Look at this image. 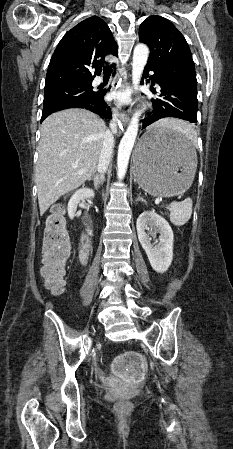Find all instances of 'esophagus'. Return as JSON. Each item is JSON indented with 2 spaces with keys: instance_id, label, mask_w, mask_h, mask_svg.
I'll return each mask as SVG.
<instances>
[{
  "instance_id": "obj_1",
  "label": "esophagus",
  "mask_w": 233,
  "mask_h": 449,
  "mask_svg": "<svg viewBox=\"0 0 233 449\" xmlns=\"http://www.w3.org/2000/svg\"><path fill=\"white\" fill-rule=\"evenodd\" d=\"M130 75V74H129ZM129 84H130V82H125V81H123L122 82V84H121V89H124V88H126L127 86H129ZM120 119H121V121H122V123L124 124V125H127L128 124V122H129V117H127V115L125 114V113H121L120 114Z\"/></svg>"
}]
</instances>
